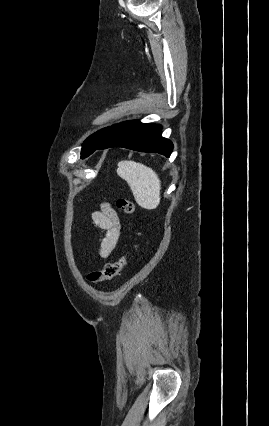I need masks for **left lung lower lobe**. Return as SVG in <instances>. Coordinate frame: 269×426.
Segmentation results:
<instances>
[{"instance_id": "1", "label": "left lung lower lobe", "mask_w": 269, "mask_h": 426, "mask_svg": "<svg viewBox=\"0 0 269 426\" xmlns=\"http://www.w3.org/2000/svg\"><path fill=\"white\" fill-rule=\"evenodd\" d=\"M110 147H124L140 152L159 153L166 157H169L173 150L171 141L161 137L160 125L141 123L137 120L112 125L103 141L92 153L95 150Z\"/></svg>"}]
</instances>
